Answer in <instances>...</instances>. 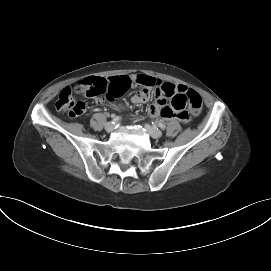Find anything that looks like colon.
Here are the masks:
<instances>
[{
    "mask_svg": "<svg viewBox=\"0 0 271 271\" xmlns=\"http://www.w3.org/2000/svg\"><path fill=\"white\" fill-rule=\"evenodd\" d=\"M81 89V84L74 87H65L56 101L57 110L66 112L72 117L83 114L85 104L74 96V93H80ZM172 103L178 109H184L186 106H189L194 113H198L202 107V98L196 91L188 90L183 94H176L172 98Z\"/></svg>",
    "mask_w": 271,
    "mask_h": 271,
    "instance_id": "colon-1",
    "label": "colon"
}]
</instances>
